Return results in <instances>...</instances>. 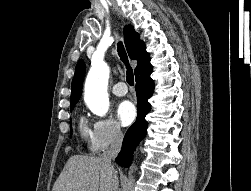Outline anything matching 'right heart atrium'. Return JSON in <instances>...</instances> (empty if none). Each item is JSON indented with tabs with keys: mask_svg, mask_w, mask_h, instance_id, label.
Listing matches in <instances>:
<instances>
[{
	"mask_svg": "<svg viewBox=\"0 0 251 191\" xmlns=\"http://www.w3.org/2000/svg\"><path fill=\"white\" fill-rule=\"evenodd\" d=\"M123 140V133L111 118L97 119L92 128L91 142L96 151H104L109 146L117 145Z\"/></svg>",
	"mask_w": 251,
	"mask_h": 191,
	"instance_id": "d8ad5b80",
	"label": "right heart atrium"
}]
</instances>
